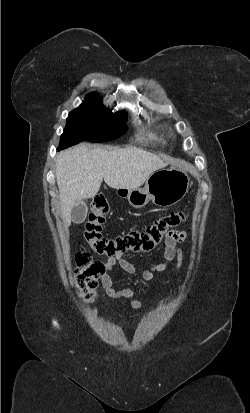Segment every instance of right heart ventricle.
Here are the masks:
<instances>
[{"label": "right heart ventricle", "mask_w": 250, "mask_h": 413, "mask_svg": "<svg viewBox=\"0 0 250 413\" xmlns=\"http://www.w3.org/2000/svg\"><path fill=\"white\" fill-rule=\"evenodd\" d=\"M140 135L148 140L163 141L162 135H159L150 128L142 129Z\"/></svg>", "instance_id": "1"}]
</instances>
